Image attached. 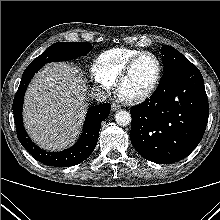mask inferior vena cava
I'll return each instance as SVG.
<instances>
[{
    "label": "inferior vena cava",
    "instance_id": "602c4592",
    "mask_svg": "<svg viewBox=\"0 0 220 220\" xmlns=\"http://www.w3.org/2000/svg\"><path fill=\"white\" fill-rule=\"evenodd\" d=\"M91 96L98 102H103L106 100L107 95L104 90H101L99 88H92L91 90Z\"/></svg>",
    "mask_w": 220,
    "mask_h": 220
}]
</instances>
